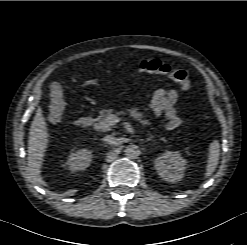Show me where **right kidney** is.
I'll list each match as a JSON object with an SVG mask.
<instances>
[{
	"label": "right kidney",
	"mask_w": 247,
	"mask_h": 245,
	"mask_svg": "<svg viewBox=\"0 0 247 245\" xmlns=\"http://www.w3.org/2000/svg\"><path fill=\"white\" fill-rule=\"evenodd\" d=\"M92 152L88 149H79L72 152L67 160V165L71 171L86 169L91 162Z\"/></svg>",
	"instance_id": "right-kidney-1"
}]
</instances>
